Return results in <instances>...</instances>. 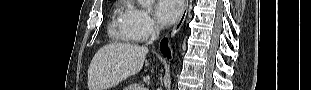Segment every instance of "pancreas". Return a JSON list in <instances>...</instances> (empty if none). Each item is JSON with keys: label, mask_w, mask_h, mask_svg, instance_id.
I'll return each mask as SVG.
<instances>
[{"label": "pancreas", "mask_w": 311, "mask_h": 90, "mask_svg": "<svg viewBox=\"0 0 311 90\" xmlns=\"http://www.w3.org/2000/svg\"><path fill=\"white\" fill-rule=\"evenodd\" d=\"M126 90H141V88H139L138 84H131L128 88H126Z\"/></svg>", "instance_id": "1"}]
</instances>
